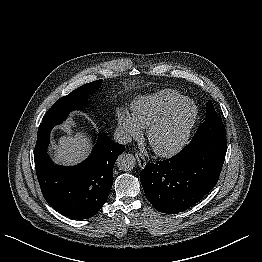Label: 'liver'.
<instances>
[{
  "label": "liver",
  "mask_w": 262,
  "mask_h": 262,
  "mask_svg": "<svg viewBox=\"0 0 262 262\" xmlns=\"http://www.w3.org/2000/svg\"><path fill=\"white\" fill-rule=\"evenodd\" d=\"M91 137L84 131H67L54 146V160L63 165H72L80 162L90 152Z\"/></svg>",
  "instance_id": "1"
}]
</instances>
